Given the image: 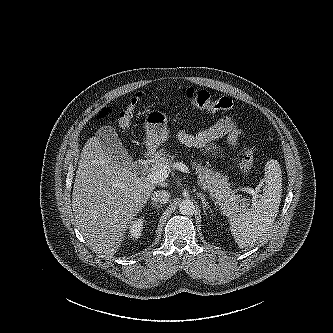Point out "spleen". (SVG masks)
Returning a JSON list of instances; mask_svg holds the SVG:
<instances>
[{"instance_id": "spleen-1", "label": "spleen", "mask_w": 333, "mask_h": 333, "mask_svg": "<svg viewBox=\"0 0 333 333\" xmlns=\"http://www.w3.org/2000/svg\"><path fill=\"white\" fill-rule=\"evenodd\" d=\"M265 186L260 199L251 209L230 216V230L239 248L257 242L272 227L282 196V173L277 160L267 161L264 168Z\"/></svg>"}]
</instances>
